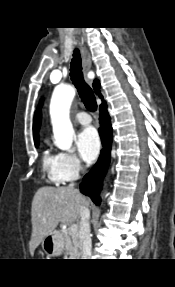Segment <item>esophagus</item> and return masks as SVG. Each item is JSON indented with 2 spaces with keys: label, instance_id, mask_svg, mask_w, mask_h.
<instances>
[{
  "label": "esophagus",
  "instance_id": "34e87169",
  "mask_svg": "<svg viewBox=\"0 0 175 287\" xmlns=\"http://www.w3.org/2000/svg\"><path fill=\"white\" fill-rule=\"evenodd\" d=\"M80 48L82 53V67H83V74L86 82L91 85L92 81L95 77V74L93 71H91V59L89 55L86 53V48L84 45V42H80Z\"/></svg>",
  "mask_w": 175,
  "mask_h": 287
}]
</instances>
